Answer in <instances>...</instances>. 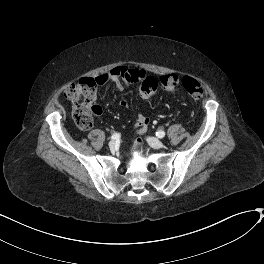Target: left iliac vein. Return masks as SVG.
<instances>
[{
    "mask_svg": "<svg viewBox=\"0 0 264 264\" xmlns=\"http://www.w3.org/2000/svg\"><path fill=\"white\" fill-rule=\"evenodd\" d=\"M147 141L150 144V146L155 148V149L164 147V143L161 140L157 139V138L149 137L147 139Z\"/></svg>",
    "mask_w": 264,
    "mask_h": 264,
    "instance_id": "1",
    "label": "left iliac vein"
}]
</instances>
